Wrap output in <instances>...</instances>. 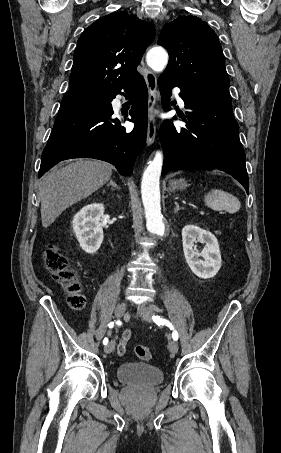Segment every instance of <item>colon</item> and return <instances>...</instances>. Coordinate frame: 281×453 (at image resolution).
Listing matches in <instances>:
<instances>
[{"mask_svg": "<svg viewBox=\"0 0 281 453\" xmlns=\"http://www.w3.org/2000/svg\"><path fill=\"white\" fill-rule=\"evenodd\" d=\"M43 255L47 271L56 282L64 287L69 296L71 306L75 310H83L85 298L82 294V285L77 277V269L69 265L67 257L53 244L44 245ZM136 354L143 362L154 360L152 352L147 348L138 347Z\"/></svg>", "mask_w": 281, "mask_h": 453, "instance_id": "obj_1", "label": "colon"}]
</instances>
